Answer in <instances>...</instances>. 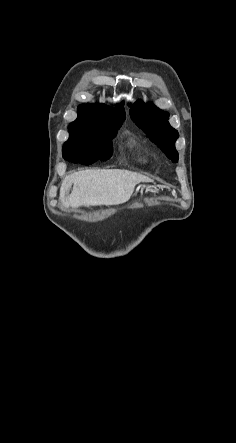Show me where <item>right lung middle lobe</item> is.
<instances>
[{
    "instance_id": "obj_1",
    "label": "right lung middle lobe",
    "mask_w": 236,
    "mask_h": 443,
    "mask_svg": "<svg viewBox=\"0 0 236 443\" xmlns=\"http://www.w3.org/2000/svg\"><path fill=\"white\" fill-rule=\"evenodd\" d=\"M124 120L106 118H77L70 123L69 139L63 148L73 146H94L103 149H113L112 139Z\"/></svg>"
}]
</instances>
